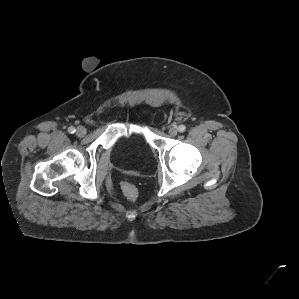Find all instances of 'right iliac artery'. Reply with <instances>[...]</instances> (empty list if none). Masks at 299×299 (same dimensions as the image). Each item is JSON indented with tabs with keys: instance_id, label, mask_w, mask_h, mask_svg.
Instances as JSON below:
<instances>
[{
	"instance_id": "1",
	"label": "right iliac artery",
	"mask_w": 299,
	"mask_h": 299,
	"mask_svg": "<svg viewBox=\"0 0 299 299\" xmlns=\"http://www.w3.org/2000/svg\"><path fill=\"white\" fill-rule=\"evenodd\" d=\"M68 132L73 134L75 132V128L73 126L69 127Z\"/></svg>"
}]
</instances>
